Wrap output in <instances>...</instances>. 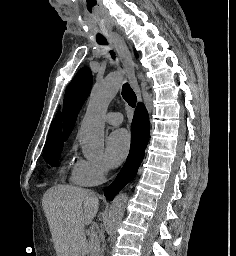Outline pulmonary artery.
I'll use <instances>...</instances> for the list:
<instances>
[{
	"label": "pulmonary artery",
	"instance_id": "obj_1",
	"mask_svg": "<svg viewBox=\"0 0 236 256\" xmlns=\"http://www.w3.org/2000/svg\"><path fill=\"white\" fill-rule=\"evenodd\" d=\"M104 120L111 125H119L122 122V116L118 112H108L105 114Z\"/></svg>",
	"mask_w": 236,
	"mask_h": 256
}]
</instances>
